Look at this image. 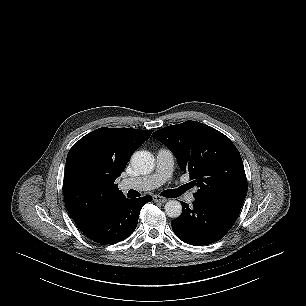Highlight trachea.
<instances>
[{"instance_id": "trachea-1", "label": "trachea", "mask_w": 306, "mask_h": 306, "mask_svg": "<svg viewBox=\"0 0 306 306\" xmlns=\"http://www.w3.org/2000/svg\"><path fill=\"white\" fill-rule=\"evenodd\" d=\"M183 191H185V188L175 189V190H166L162 193V195L168 198H176L180 196Z\"/></svg>"}]
</instances>
